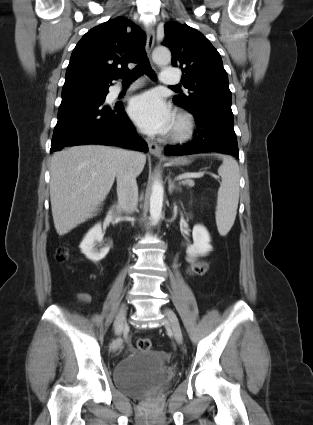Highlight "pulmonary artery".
<instances>
[{"label":"pulmonary artery","instance_id":"e3ab8cb5","mask_svg":"<svg viewBox=\"0 0 313 425\" xmlns=\"http://www.w3.org/2000/svg\"><path fill=\"white\" fill-rule=\"evenodd\" d=\"M160 82L165 85H176L180 82V76L176 69L173 68H164L160 75ZM135 85H131L127 88L122 86H115L113 89L114 94H118L124 90L133 89Z\"/></svg>","mask_w":313,"mask_h":425}]
</instances>
